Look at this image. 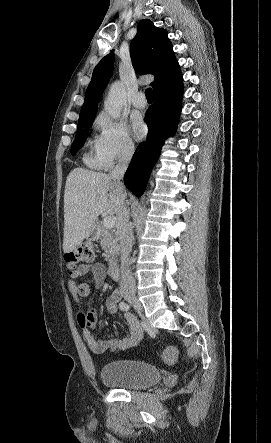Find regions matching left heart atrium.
<instances>
[{"instance_id": "left-heart-atrium-1", "label": "left heart atrium", "mask_w": 271, "mask_h": 443, "mask_svg": "<svg viewBox=\"0 0 271 443\" xmlns=\"http://www.w3.org/2000/svg\"><path fill=\"white\" fill-rule=\"evenodd\" d=\"M131 125L136 139L141 140L147 133V126L139 114L131 116Z\"/></svg>"}]
</instances>
